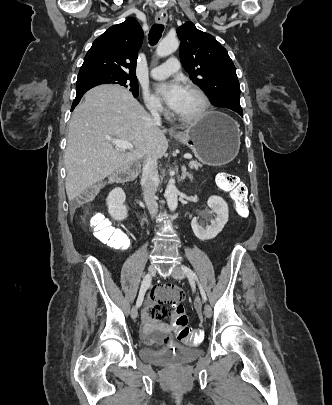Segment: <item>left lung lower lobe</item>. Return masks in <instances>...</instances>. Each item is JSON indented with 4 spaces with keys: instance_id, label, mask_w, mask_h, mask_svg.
<instances>
[{
    "instance_id": "1",
    "label": "left lung lower lobe",
    "mask_w": 332,
    "mask_h": 405,
    "mask_svg": "<svg viewBox=\"0 0 332 405\" xmlns=\"http://www.w3.org/2000/svg\"><path fill=\"white\" fill-rule=\"evenodd\" d=\"M235 112H237V113L240 114L241 116H242V114H243V111H242V108H241V107L238 108L237 110H235Z\"/></svg>"
}]
</instances>
